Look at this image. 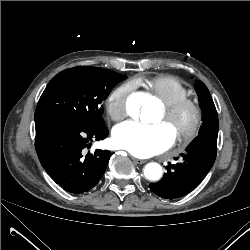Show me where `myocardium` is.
I'll return each instance as SVG.
<instances>
[{
  "instance_id": "myocardium-1",
  "label": "myocardium",
  "mask_w": 250,
  "mask_h": 250,
  "mask_svg": "<svg viewBox=\"0 0 250 250\" xmlns=\"http://www.w3.org/2000/svg\"><path fill=\"white\" fill-rule=\"evenodd\" d=\"M185 113L191 115V120L186 127L178 128L176 124ZM164 120L175 128L176 142L181 147H186L195 139L201 129L203 110L196 99L185 96L171 104H164Z\"/></svg>"
}]
</instances>
